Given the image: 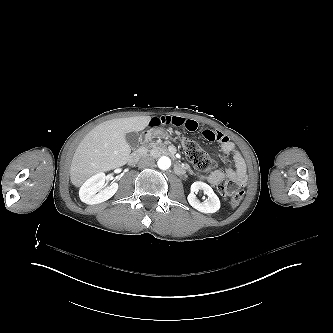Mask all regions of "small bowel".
Listing matches in <instances>:
<instances>
[{"label": "small bowel", "instance_id": "c3829d8e", "mask_svg": "<svg viewBox=\"0 0 333 333\" xmlns=\"http://www.w3.org/2000/svg\"><path fill=\"white\" fill-rule=\"evenodd\" d=\"M160 125L180 127L191 132L199 129V123L196 119L183 116L154 118L149 122V126L151 127ZM202 134L207 140L219 141L221 143L222 152L226 155H230L232 158V165H230L225 171L215 170L212 173L203 176V179L213 186L218 185L226 179L233 181L240 186H245L247 184L246 164L242 154L237 149L235 144L231 142L222 132L212 128H204L202 130ZM179 168L183 169V167L179 166L177 170Z\"/></svg>", "mask_w": 333, "mask_h": 333}]
</instances>
